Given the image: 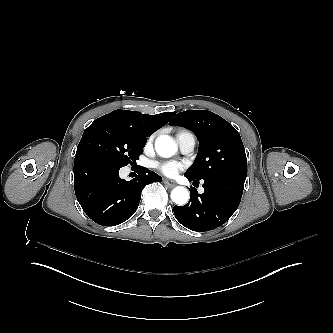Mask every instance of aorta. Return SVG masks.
Wrapping results in <instances>:
<instances>
[{
	"label": "aorta",
	"instance_id": "762f6f07",
	"mask_svg": "<svg viewBox=\"0 0 333 333\" xmlns=\"http://www.w3.org/2000/svg\"><path fill=\"white\" fill-rule=\"evenodd\" d=\"M155 150L163 158H170L176 154L178 147L168 135H161L155 141ZM171 199L177 205H184L189 200V192L183 186L175 187L171 192Z\"/></svg>",
	"mask_w": 333,
	"mask_h": 333
}]
</instances>
